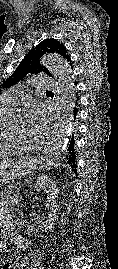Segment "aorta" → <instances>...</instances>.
Here are the masks:
<instances>
[{
	"label": "aorta",
	"instance_id": "1",
	"mask_svg": "<svg viewBox=\"0 0 118 269\" xmlns=\"http://www.w3.org/2000/svg\"><path fill=\"white\" fill-rule=\"evenodd\" d=\"M41 63L48 67L57 80L58 109L51 138L40 158L39 168L49 170L60 159L70 134L74 106V75L68 63L56 54L45 55Z\"/></svg>",
	"mask_w": 118,
	"mask_h": 269
}]
</instances>
